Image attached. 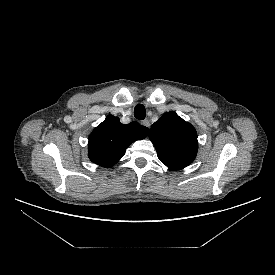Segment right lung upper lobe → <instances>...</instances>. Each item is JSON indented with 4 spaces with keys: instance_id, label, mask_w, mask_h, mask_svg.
Returning <instances> with one entry per match:
<instances>
[{
    "instance_id": "cb5924a9",
    "label": "right lung upper lobe",
    "mask_w": 275,
    "mask_h": 275,
    "mask_svg": "<svg viewBox=\"0 0 275 275\" xmlns=\"http://www.w3.org/2000/svg\"><path fill=\"white\" fill-rule=\"evenodd\" d=\"M148 133L149 129L138 122L124 125L118 117L108 115L89 136V158L95 164L110 168L123 157L131 143L144 139Z\"/></svg>"
}]
</instances>
